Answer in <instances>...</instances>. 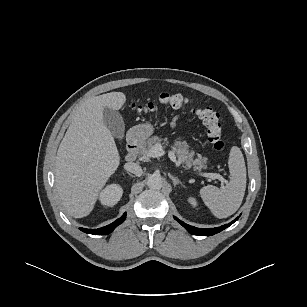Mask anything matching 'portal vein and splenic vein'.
I'll return each instance as SVG.
<instances>
[{"label": "portal vein and splenic vein", "mask_w": 307, "mask_h": 307, "mask_svg": "<svg viewBox=\"0 0 307 307\" xmlns=\"http://www.w3.org/2000/svg\"><path fill=\"white\" fill-rule=\"evenodd\" d=\"M165 154V151L163 150V147L161 144H155L151 150L149 151V157H153V158H156V157H160V156H163ZM168 157L173 161L175 162L177 165L180 164V162H178L176 160V156L175 154L172 152V151H169L168 152ZM202 176H205V177H208V178H211V179H219L221 182H225V179L223 176H221L220 174H217V173H203L201 174Z\"/></svg>", "instance_id": "1"}]
</instances>
